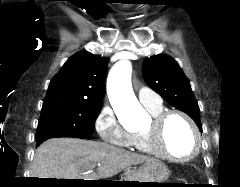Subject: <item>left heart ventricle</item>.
Instances as JSON below:
<instances>
[{
	"mask_svg": "<svg viewBox=\"0 0 240 187\" xmlns=\"http://www.w3.org/2000/svg\"><path fill=\"white\" fill-rule=\"evenodd\" d=\"M150 123L145 127L148 128ZM194 135L187 122L173 115L166 121L162 132V147L176 157L188 156L194 148Z\"/></svg>",
	"mask_w": 240,
	"mask_h": 187,
	"instance_id": "obj_1",
	"label": "left heart ventricle"
}]
</instances>
